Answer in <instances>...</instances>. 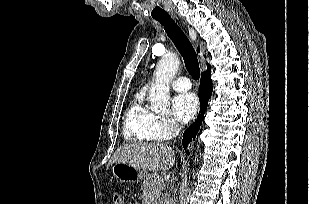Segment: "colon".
I'll return each mask as SVG.
<instances>
[{"mask_svg":"<svg viewBox=\"0 0 309 204\" xmlns=\"http://www.w3.org/2000/svg\"><path fill=\"white\" fill-rule=\"evenodd\" d=\"M114 204H123V194L120 192H115L113 194Z\"/></svg>","mask_w":309,"mask_h":204,"instance_id":"colon-1","label":"colon"}]
</instances>
